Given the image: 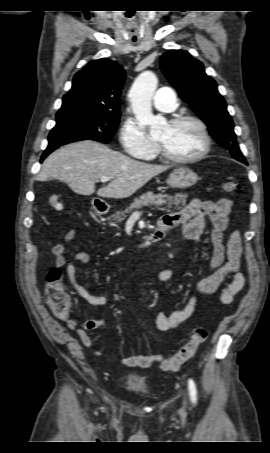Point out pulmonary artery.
<instances>
[{
    "mask_svg": "<svg viewBox=\"0 0 270 453\" xmlns=\"http://www.w3.org/2000/svg\"><path fill=\"white\" fill-rule=\"evenodd\" d=\"M152 103L161 112H173L177 107V99L174 91L170 88H160L154 95Z\"/></svg>",
    "mask_w": 270,
    "mask_h": 453,
    "instance_id": "obj_1",
    "label": "pulmonary artery"
}]
</instances>
